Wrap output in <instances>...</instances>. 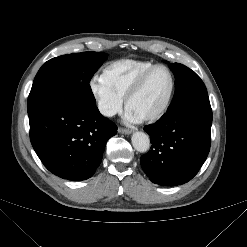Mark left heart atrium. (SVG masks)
<instances>
[{"mask_svg":"<svg viewBox=\"0 0 247 247\" xmlns=\"http://www.w3.org/2000/svg\"><path fill=\"white\" fill-rule=\"evenodd\" d=\"M125 119L128 122L137 123V122L142 121L143 116H141L140 114H138L137 112H135L131 108L127 107L126 111H125Z\"/></svg>","mask_w":247,"mask_h":247,"instance_id":"obj_1","label":"left heart atrium"}]
</instances>
